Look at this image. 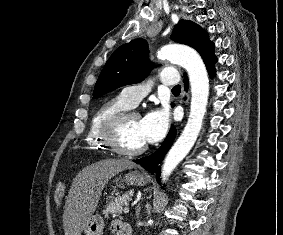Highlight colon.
<instances>
[{"label": "colon", "instance_id": "colon-1", "mask_svg": "<svg viewBox=\"0 0 283 235\" xmlns=\"http://www.w3.org/2000/svg\"><path fill=\"white\" fill-rule=\"evenodd\" d=\"M65 194V185L58 183L54 191V200L56 204H60Z\"/></svg>", "mask_w": 283, "mask_h": 235}]
</instances>
